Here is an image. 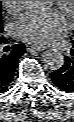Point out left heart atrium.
Instances as JSON below:
<instances>
[{
  "label": "left heart atrium",
  "instance_id": "39dd6f15",
  "mask_svg": "<svg viewBox=\"0 0 74 122\" xmlns=\"http://www.w3.org/2000/svg\"><path fill=\"white\" fill-rule=\"evenodd\" d=\"M70 21L58 9L29 10L13 23L17 36L26 42L47 44L69 27Z\"/></svg>",
  "mask_w": 74,
  "mask_h": 122
}]
</instances>
